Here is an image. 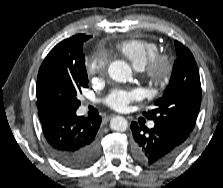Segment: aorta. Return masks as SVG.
I'll return each mask as SVG.
<instances>
[{
	"label": "aorta",
	"mask_w": 223,
	"mask_h": 188,
	"mask_svg": "<svg viewBox=\"0 0 223 188\" xmlns=\"http://www.w3.org/2000/svg\"><path fill=\"white\" fill-rule=\"evenodd\" d=\"M108 73L117 82H125L132 75L130 66L121 60L112 62L108 68ZM110 128L116 132H124L128 128V121L122 116H116L111 119Z\"/></svg>",
	"instance_id": "aorta-1"
}]
</instances>
